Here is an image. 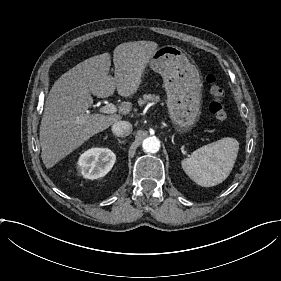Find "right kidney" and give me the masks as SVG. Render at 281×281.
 I'll return each instance as SVG.
<instances>
[{"instance_id":"ca27d5eb","label":"right kidney","mask_w":281,"mask_h":281,"mask_svg":"<svg viewBox=\"0 0 281 281\" xmlns=\"http://www.w3.org/2000/svg\"><path fill=\"white\" fill-rule=\"evenodd\" d=\"M115 153L106 147H92L79 154L76 165L83 177L98 179L106 175L115 163Z\"/></svg>"}]
</instances>
